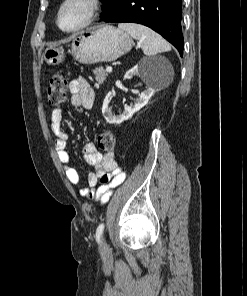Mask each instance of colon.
Here are the masks:
<instances>
[{
    "mask_svg": "<svg viewBox=\"0 0 247 296\" xmlns=\"http://www.w3.org/2000/svg\"><path fill=\"white\" fill-rule=\"evenodd\" d=\"M67 88V75L56 74L54 75L47 87V102L51 107L60 106L66 99ZM98 147L100 150L106 153H113L116 147L115 135L110 131H105L99 135ZM108 177L102 178L103 182H106Z\"/></svg>",
    "mask_w": 247,
    "mask_h": 296,
    "instance_id": "obj_1",
    "label": "colon"
}]
</instances>
